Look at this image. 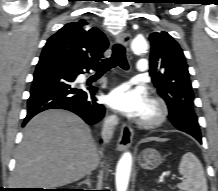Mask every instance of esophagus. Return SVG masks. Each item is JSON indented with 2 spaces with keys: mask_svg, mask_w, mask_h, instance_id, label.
<instances>
[{
  "mask_svg": "<svg viewBox=\"0 0 218 191\" xmlns=\"http://www.w3.org/2000/svg\"><path fill=\"white\" fill-rule=\"evenodd\" d=\"M117 41L121 43L123 46L128 47L131 41V36L128 33L121 32L117 36ZM134 136V131L129 125H122L121 133L117 141V149L119 151L126 150L132 143Z\"/></svg>",
  "mask_w": 218,
  "mask_h": 191,
  "instance_id": "34e87169",
  "label": "esophagus"
}]
</instances>
